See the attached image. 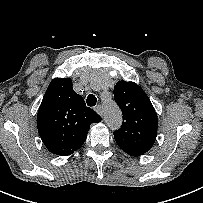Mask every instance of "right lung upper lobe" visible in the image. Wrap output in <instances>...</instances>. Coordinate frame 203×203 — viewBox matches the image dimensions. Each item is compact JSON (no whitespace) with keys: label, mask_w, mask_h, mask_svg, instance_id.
Returning <instances> with one entry per match:
<instances>
[{"label":"right lung upper lobe","mask_w":203,"mask_h":203,"mask_svg":"<svg viewBox=\"0 0 203 203\" xmlns=\"http://www.w3.org/2000/svg\"><path fill=\"white\" fill-rule=\"evenodd\" d=\"M101 117L74 92L70 78H55L49 84L37 114V128L46 148L68 156L83 145L90 124Z\"/></svg>","instance_id":"1"}]
</instances>
